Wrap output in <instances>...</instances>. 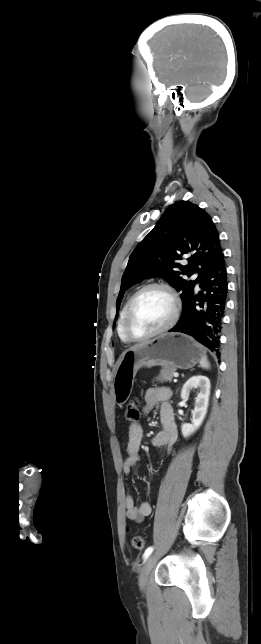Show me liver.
Returning <instances> with one entry per match:
<instances>
[{
  "mask_svg": "<svg viewBox=\"0 0 261 644\" xmlns=\"http://www.w3.org/2000/svg\"><path fill=\"white\" fill-rule=\"evenodd\" d=\"M144 344H145V343H144ZM142 345H143V344H140V345H136V346H134V347H133V348H131V349H135V348H138L139 346H142ZM131 349H130V350H131Z\"/></svg>",
  "mask_w": 261,
  "mask_h": 644,
  "instance_id": "1",
  "label": "liver"
}]
</instances>
